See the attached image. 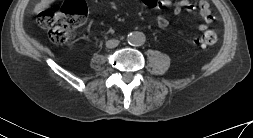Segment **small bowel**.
<instances>
[{"mask_svg": "<svg viewBox=\"0 0 253 138\" xmlns=\"http://www.w3.org/2000/svg\"><path fill=\"white\" fill-rule=\"evenodd\" d=\"M55 0H39L36 5L38 11H43L51 6ZM143 2L153 8L166 10L169 9L174 15L180 14L183 10L187 12H192L195 6L190 2V0H181L180 2H171L170 0H143ZM198 8L200 15L204 23L198 26L199 31H205L208 25L211 24L215 17L212 13L209 3L206 0H198ZM157 26L160 29H166L169 26V21L166 17L159 15L156 19Z\"/></svg>", "mask_w": 253, "mask_h": 138, "instance_id": "obj_1", "label": "small bowel"}]
</instances>
